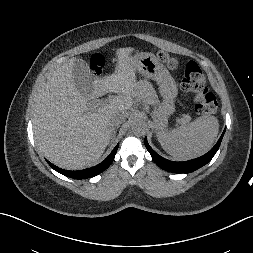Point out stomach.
<instances>
[{
    "label": "stomach",
    "instance_id": "0dacf381",
    "mask_svg": "<svg viewBox=\"0 0 253 253\" xmlns=\"http://www.w3.org/2000/svg\"><path fill=\"white\" fill-rule=\"evenodd\" d=\"M136 64V71L159 85L163 102L152 111L155 128L163 130L167 127L168 118L174 112V98L177 95V84L168 69L158 61L154 54L140 52L131 56Z\"/></svg>",
    "mask_w": 253,
    "mask_h": 253
}]
</instances>
